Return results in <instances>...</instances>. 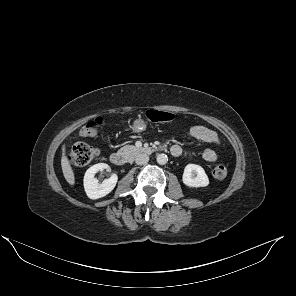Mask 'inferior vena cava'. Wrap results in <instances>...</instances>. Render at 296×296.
<instances>
[{
  "label": "inferior vena cava",
  "instance_id": "inferior-vena-cava-1",
  "mask_svg": "<svg viewBox=\"0 0 296 296\" xmlns=\"http://www.w3.org/2000/svg\"><path fill=\"white\" fill-rule=\"evenodd\" d=\"M148 161H149V156L146 154H138L135 158V162L138 165L146 164L148 163Z\"/></svg>",
  "mask_w": 296,
  "mask_h": 296
}]
</instances>
